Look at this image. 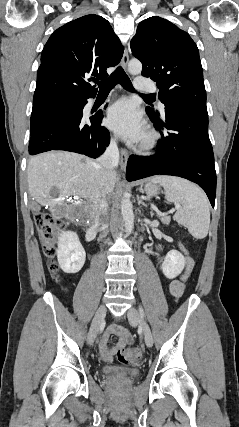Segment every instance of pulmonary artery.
I'll return each instance as SVG.
<instances>
[{
    "label": "pulmonary artery",
    "mask_w": 239,
    "mask_h": 427,
    "mask_svg": "<svg viewBox=\"0 0 239 427\" xmlns=\"http://www.w3.org/2000/svg\"><path fill=\"white\" fill-rule=\"evenodd\" d=\"M135 88L137 90L147 91V92H155L156 91V86L154 85V83L147 81L143 77H137L136 78ZM160 106L162 109H164V105L162 103L160 104Z\"/></svg>",
    "instance_id": "obj_1"
}]
</instances>
